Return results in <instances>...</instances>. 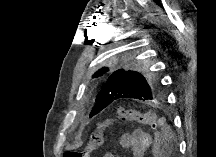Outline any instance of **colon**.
<instances>
[{
	"label": "colon",
	"mask_w": 216,
	"mask_h": 157,
	"mask_svg": "<svg viewBox=\"0 0 216 157\" xmlns=\"http://www.w3.org/2000/svg\"><path fill=\"white\" fill-rule=\"evenodd\" d=\"M116 121H135L149 125L153 129L160 125V121L151 111H139L120 107L116 110L114 117L103 119L95 125L83 149L66 151L64 157H90L102 145L106 128Z\"/></svg>",
	"instance_id": "5ec220e1"
}]
</instances>
